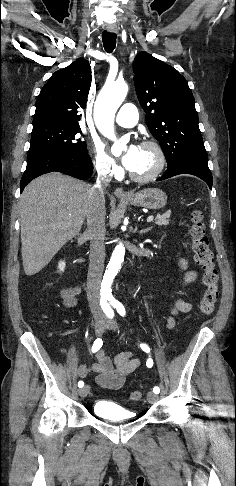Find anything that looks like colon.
Returning <instances> with one entry per match:
<instances>
[{
	"mask_svg": "<svg viewBox=\"0 0 236 486\" xmlns=\"http://www.w3.org/2000/svg\"><path fill=\"white\" fill-rule=\"evenodd\" d=\"M189 235L192 240V251L195 262L203 270V283L205 291L200 303V312L204 316H210L215 309L219 297L218 272L214 263V254L210 241L206 234L202 212L194 210L190 214ZM131 400L137 401L142 398V392L137 390L130 394Z\"/></svg>",
	"mask_w": 236,
	"mask_h": 486,
	"instance_id": "colon-1",
	"label": "colon"
}]
</instances>
